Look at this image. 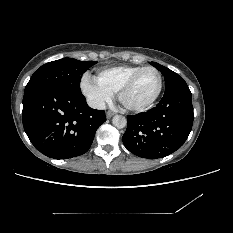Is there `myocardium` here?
<instances>
[{
    "mask_svg": "<svg viewBox=\"0 0 233 233\" xmlns=\"http://www.w3.org/2000/svg\"><path fill=\"white\" fill-rule=\"evenodd\" d=\"M149 70H153L157 73L158 76V87L157 90L154 94V96L149 99L148 101H146L145 103L141 104V105H137V106H133V105H129L125 102V95L126 93L133 87V85L136 83V81L138 80V78L146 71ZM162 87H163V79H162V74L161 72L153 67V66H146L143 67L142 69H140L139 71L135 72L120 88L119 92H118V100L119 103L121 104V106L123 108H125L126 110L129 111H134V112H139V111H143L147 108H149L150 106H152L156 100L159 98L160 93L162 91Z\"/></svg>",
    "mask_w": 233,
    "mask_h": 233,
    "instance_id": "1",
    "label": "myocardium"
}]
</instances>
